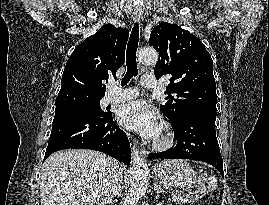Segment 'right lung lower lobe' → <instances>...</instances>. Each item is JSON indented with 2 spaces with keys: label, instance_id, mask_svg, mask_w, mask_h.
Wrapping results in <instances>:
<instances>
[{
  "label": "right lung lower lobe",
  "instance_id": "1",
  "mask_svg": "<svg viewBox=\"0 0 269 205\" xmlns=\"http://www.w3.org/2000/svg\"><path fill=\"white\" fill-rule=\"evenodd\" d=\"M63 149H92L130 165L131 148L126 134L113 122L112 114L87 112L55 114L44 156Z\"/></svg>",
  "mask_w": 269,
  "mask_h": 205
}]
</instances>
